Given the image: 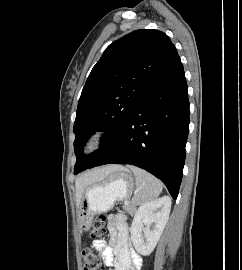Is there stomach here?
I'll return each instance as SVG.
<instances>
[{"label": "stomach", "instance_id": "0dacf381", "mask_svg": "<svg viewBox=\"0 0 242 270\" xmlns=\"http://www.w3.org/2000/svg\"><path fill=\"white\" fill-rule=\"evenodd\" d=\"M133 186V177L124 167L114 171L104 180L89 185L85 189L78 211L80 230L88 231L94 216L111 209L116 201L126 199Z\"/></svg>", "mask_w": 242, "mask_h": 270}]
</instances>
